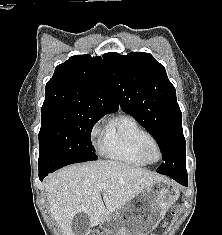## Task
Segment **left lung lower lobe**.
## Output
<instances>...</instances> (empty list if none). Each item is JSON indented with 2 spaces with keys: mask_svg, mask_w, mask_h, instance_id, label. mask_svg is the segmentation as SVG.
<instances>
[{
  "mask_svg": "<svg viewBox=\"0 0 222 235\" xmlns=\"http://www.w3.org/2000/svg\"><path fill=\"white\" fill-rule=\"evenodd\" d=\"M164 175H166V174H164ZM168 176H170L172 179H174L179 184H181L183 186H187V176H185V175H168Z\"/></svg>",
  "mask_w": 222,
  "mask_h": 235,
  "instance_id": "0a47b994",
  "label": "left lung lower lobe"
}]
</instances>
